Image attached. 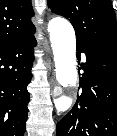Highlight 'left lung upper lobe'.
I'll use <instances>...</instances> for the list:
<instances>
[{"instance_id": "1", "label": "left lung upper lobe", "mask_w": 117, "mask_h": 136, "mask_svg": "<svg viewBox=\"0 0 117 136\" xmlns=\"http://www.w3.org/2000/svg\"><path fill=\"white\" fill-rule=\"evenodd\" d=\"M48 6L71 22L77 42L117 52L116 16L111 0H48Z\"/></svg>"}]
</instances>
